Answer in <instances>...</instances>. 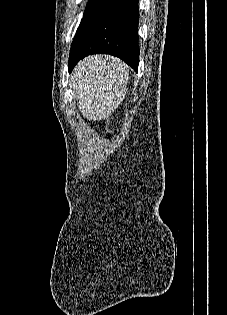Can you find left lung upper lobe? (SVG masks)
<instances>
[{
	"instance_id": "left-lung-upper-lobe-1",
	"label": "left lung upper lobe",
	"mask_w": 227,
	"mask_h": 315,
	"mask_svg": "<svg viewBox=\"0 0 227 315\" xmlns=\"http://www.w3.org/2000/svg\"><path fill=\"white\" fill-rule=\"evenodd\" d=\"M97 0H89L88 1V4H87V7L85 9V12H84V15L87 13V11L95 4Z\"/></svg>"
}]
</instances>
